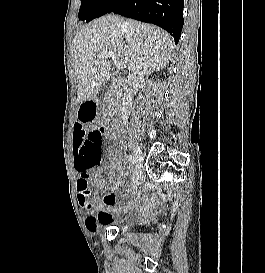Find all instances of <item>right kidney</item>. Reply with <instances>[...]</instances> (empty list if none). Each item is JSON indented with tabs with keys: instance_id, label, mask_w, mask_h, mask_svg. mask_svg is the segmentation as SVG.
I'll list each match as a JSON object with an SVG mask.
<instances>
[{
	"instance_id": "right-kidney-1",
	"label": "right kidney",
	"mask_w": 265,
	"mask_h": 273,
	"mask_svg": "<svg viewBox=\"0 0 265 273\" xmlns=\"http://www.w3.org/2000/svg\"><path fill=\"white\" fill-rule=\"evenodd\" d=\"M150 86L156 87V84H155V83H154V84L151 83V84L149 85V87H150Z\"/></svg>"
}]
</instances>
